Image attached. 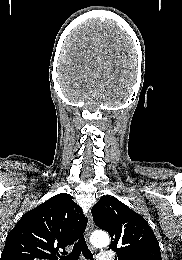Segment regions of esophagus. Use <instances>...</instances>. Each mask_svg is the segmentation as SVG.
Listing matches in <instances>:
<instances>
[{
	"label": "esophagus",
	"instance_id": "esophagus-1",
	"mask_svg": "<svg viewBox=\"0 0 182 260\" xmlns=\"http://www.w3.org/2000/svg\"><path fill=\"white\" fill-rule=\"evenodd\" d=\"M93 228H94V224H93L92 216H91V214H89L88 223H87V227H86V231H85V235H86L87 239H89V237L93 231Z\"/></svg>",
	"mask_w": 182,
	"mask_h": 260
}]
</instances>
